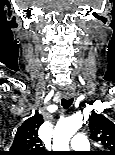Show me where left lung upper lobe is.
<instances>
[{
	"instance_id": "1",
	"label": "left lung upper lobe",
	"mask_w": 115,
	"mask_h": 155,
	"mask_svg": "<svg viewBox=\"0 0 115 155\" xmlns=\"http://www.w3.org/2000/svg\"><path fill=\"white\" fill-rule=\"evenodd\" d=\"M91 137L101 144L105 151L98 155H115V124L101 114L95 112L89 118Z\"/></svg>"
}]
</instances>
